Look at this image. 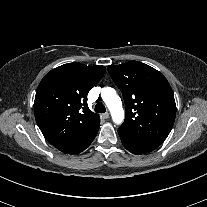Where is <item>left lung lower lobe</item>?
<instances>
[{"mask_svg": "<svg viewBox=\"0 0 207 207\" xmlns=\"http://www.w3.org/2000/svg\"><path fill=\"white\" fill-rule=\"evenodd\" d=\"M124 147L133 154H145L156 149L161 143L141 139L125 132L119 131Z\"/></svg>", "mask_w": 207, "mask_h": 207, "instance_id": "1", "label": "left lung lower lobe"}]
</instances>
